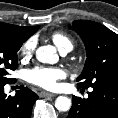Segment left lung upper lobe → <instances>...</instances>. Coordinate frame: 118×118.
Segmentation results:
<instances>
[{
  "mask_svg": "<svg viewBox=\"0 0 118 118\" xmlns=\"http://www.w3.org/2000/svg\"><path fill=\"white\" fill-rule=\"evenodd\" d=\"M72 28L82 38L87 55L77 87H118V35L88 20H76Z\"/></svg>",
  "mask_w": 118,
  "mask_h": 118,
  "instance_id": "1",
  "label": "left lung upper lobe"
}]
</instances>
